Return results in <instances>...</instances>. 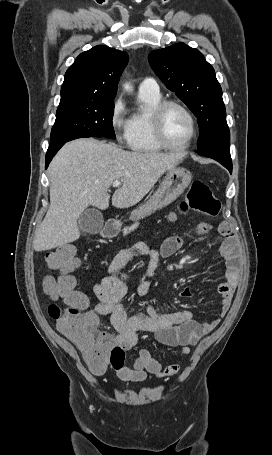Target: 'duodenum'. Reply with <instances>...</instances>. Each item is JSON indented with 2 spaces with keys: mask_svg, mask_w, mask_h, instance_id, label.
<instances>
[{
  "mask_svg": "<svg viewBox=\"0 0 272 455\" xmlns=\"http://www.w3.org/2000/svg\"><path fill=\"white\" fill-rule=\"evenodd\" d=\"M115 229V224L113 222H108L103 226L100 234L105 238L112 237L115 234Z\"/></svg>",
  "mask_w": 272,
  "mask_h": 455,
  "instance_id": "duodenum-1",
  "label": "duodenum"
}]
</instances>
